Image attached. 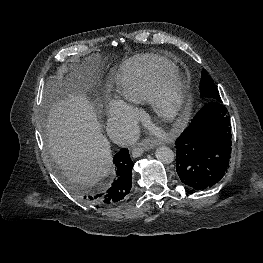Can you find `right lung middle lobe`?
<instances>
[{"instance_id": "1", "label": "right lung middle lobe", "mask_w": 263, "mask_h": 263, "mask_svg": "<svg viewBox=\"0 0 263 263\" xmlns=\"http://www.w3.org/2000/svg\"><path fill=\"white\" fill-rule=\"evenodd\" d=\"M78 192H79L80 194H82V192H81V191H79V190H78Z\"/></svg>"}]
</instances>
